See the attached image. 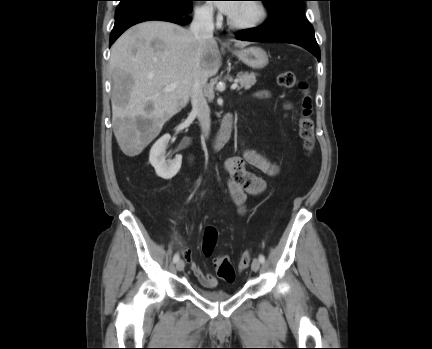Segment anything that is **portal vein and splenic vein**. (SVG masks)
Instances as JSON below:
<instances>
[{"label": "portal vein and splenic vein", "mask_w": 432, "mask_h": 349, "mask_svg": "<svg viewBox=\"0 0 432 349\" xmlns=\"http://www.w3.org/2000/svg\"><path fill=\"white\" fill-rule=\"evenodd\" d=\"M237 86H238L237 83H233V84L231 85V90H235V89L237 88ZM176 87H177V83H173V84L169 85V86L166 88V90L168 91V90L174 89V88H176Z\"/></svg>", "instance_id": "1"}]
</instances>
